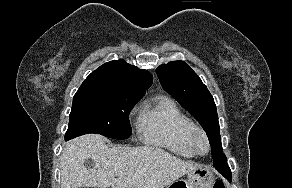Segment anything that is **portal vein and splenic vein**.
<instances>
[{
    "label": "portal vein and splenic vein",
    "mask_w": 292,
    "mask_h": 188,
    "mask_svg": "<svg viewBox=\"0 0 292 188\" xmlns=\"http://www.w3.org/2000/svg\"><path fill=\"white\" fill-rule=\"evenodd\" d=\"M118 175H119V176L122 175V172H118Z\"/></svg>",
    "instance_id": "portal-vein-and-splenic-vein-1"
}]
</instances>
